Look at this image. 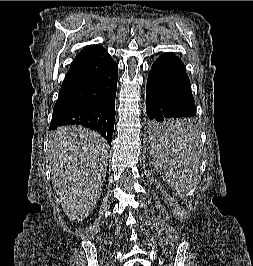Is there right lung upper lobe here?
Returning <instances> with one entry per match:
<instances>
[{
  "mask_svg": "<svg viewBox=\"0 0 253 266\" xmlns=\"http://www.w3.org/2000/svg\"><path fill=\"white\" fill-rule=\"evenodd\" d=\"M102 48L101 46H97V45H90L85 47L74 59L73 62L75 61H79L81 59H84L88 56H90L91 54H93L95 51H97L98 49Z\"/></svg>",
  "mask_w": 253,
  "mask_h": 266,
  "instance_id": "obj_1",
  "label": "right lung upper lobe"
}]
</instances>
